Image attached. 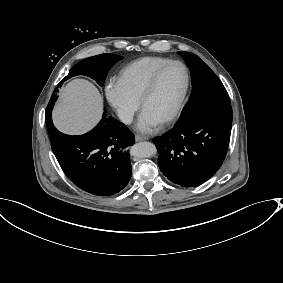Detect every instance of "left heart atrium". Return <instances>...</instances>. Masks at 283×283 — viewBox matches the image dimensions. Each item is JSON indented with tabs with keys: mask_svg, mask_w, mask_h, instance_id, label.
<instances>
[{
	"mask_svg": "<svg viewBox=\"0 0 283 283\" xmlns=\"http://www.w3.org/2000/svg\"><path fill=\"white\" fill-rule=\"evenodd\" d=\"M159 120L147 110H142L137 122V129L142 132H151L156 129Z\"/></svg>",
	"mask_w": 283,
	"mask_h": 283,
	"instance_id": "1",
	"label": "left heart atrium"
}]
</instances>
